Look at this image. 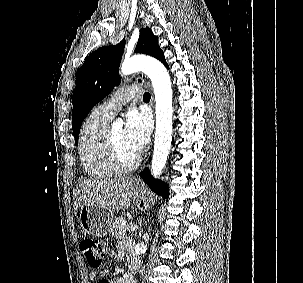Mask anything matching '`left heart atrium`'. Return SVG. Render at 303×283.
<instances>
[{
	"label": "left heart atrium",
	"mask_w": 303,
	"mask_h": 283,
	"mask_svg": "<svg viewBox=\"0 0 303 283\" xmlns=\"http://www.w3.org/2000/svg\"><path fill=\"white\" fill-rule=\"evenodd\" d=\"M151 129V119L145 111L131 109L127 113L123 134L127 146L135 154H138L148 143Z\"/></svg>",
	"instance_id": "left-heart-atrium-1"
}]
</instances>
